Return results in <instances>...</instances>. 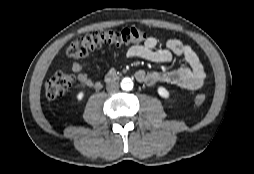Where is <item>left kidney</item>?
<instances>
[{
    "label": "left kidney",
    "mask_w": 254,
    "mask_h": 174,
    "mask_svg": "<svg viewBox=\"0 0 254 174\" xmlns=\"http://www.w3.org/2000/svg\"><path fill=\"white\" fill-rule=\"evenodd\" d=\"M157 92L161 97H163L165 99H168L170 96L169 91L165 87H162V86L158 87Z\"/></svg>",
    "instance_id": "5707ae66"
}]
</instances>
